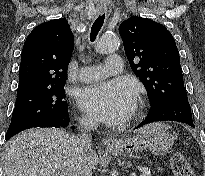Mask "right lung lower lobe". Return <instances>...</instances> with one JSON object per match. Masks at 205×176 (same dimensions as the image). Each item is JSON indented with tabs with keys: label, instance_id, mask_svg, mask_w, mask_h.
Wrapping results in <instances>:
<instances>
[{
	"label": "right lung lower lobe",
	"instance_id": "98d812e1",
	"mask_svg": "<svg viewBox=\"0 0 205 176\" xmlns=\"http://www.w3.org/2000/svg\"><path fill=\"white\" fill-rule=\"evenodd\" d=\"M69 116L61 119V120H50L36 125L35 127H66L69 124Z\"/></svg>",
	"mask_w": 205,
	"mask_h": 176
}]
</instances>
